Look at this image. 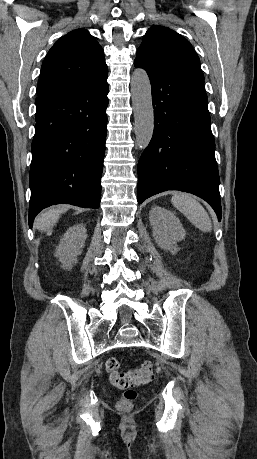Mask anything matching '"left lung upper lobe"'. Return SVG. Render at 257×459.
<instances>
[{
    "label": "left lung upper lobe",
    "instance_id": "left-lung-upper-lobe-1",
    "mask_svg": "<svg viewBox=\"0 0 257 459\" xmlns=\"http://www.w3.org/2000/svg\"><path fill=\"white\" fill-rule=\"evenodd\" d=\"M135 60L165 69H200V60L192 45L177 32L163 26H153L146 32Z\"/></svg>",
    "mask_w": 257,
    "mask_h": 459
}]
</instances>
